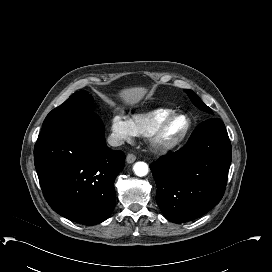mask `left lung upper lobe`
<instances>
[{
  "instance_id": "obj_1",
  "label": "left lung upper lobe",
  "mask_w": 272,
  "mask_h": 272,
  "mask_svg": "<svg viewBox=\"0 0 272 272\" xmlns=\"http://www.w3.org/2000/svg\"><path fill=\"white\" fill-rule=\"evenodd\" d=\"M184 91L198 108L205 110L209 113H213L212 110L208 106H206L192 90L185 89Z\"/></svg>"
}]
</instances>
